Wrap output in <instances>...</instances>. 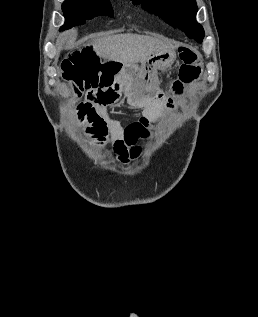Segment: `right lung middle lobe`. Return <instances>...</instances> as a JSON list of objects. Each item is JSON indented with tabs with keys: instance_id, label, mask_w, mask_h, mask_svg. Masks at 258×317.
Instances as JSON below:
<instances>
[{
	"instance_id": "1",
	"label": "right lung middle lobe",
	"mask_w": 258,
	"mask_h": 317,
	"mask_svg": "<svg viewBox=\"0 0 258 317\" xmlns=\"http://www.w3.org/2000/svg\"><path fill=\"white\" fill-rule=\"evenodd\" d=\"M62 10L78 13L87 19L95 16H113L109 0H65Z\"/></svg>"
}]
</instances>
